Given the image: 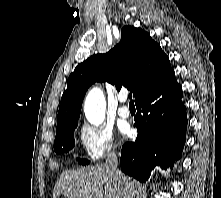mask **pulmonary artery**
I'll return each mask as SVG.
<instances>
[{"instance_id": "e3ab8cb5", "label": "pulmonary artery", "mask_w": 221, "mask_h": 198, "mask_svg": "<svg viewBox=\"0 0 221 198\" xmlns=\"http://www.w3.org/2000/svg\"><path fill=\"white\" fill-rule=\"evenodd\" d=\"M118 99L119 102L121 103L120 107L118 108V115L121 118H128L130 116V109L127 105H125V102L127 100V94L120 93Z\"/></svg>"}]
</instances>
